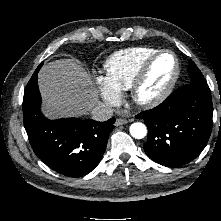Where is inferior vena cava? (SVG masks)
<instances>
[{"label": "inferior vena cava", "instance_id": "obj_1", "mask_svg": "<svg viewBox=\"0 0 221 221\" xmlns=\"http://www.w3.org/2000/svg\"><path fill=\"white\" fill-rule=\"evenodd\" d=\"M113 111L112 106L100 102L96 104L91 111L92 119L96 121H107L113 116Z\"/></svg>", "mask_w": 221, "mask_h": 221}]
</instances>
